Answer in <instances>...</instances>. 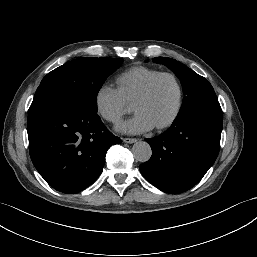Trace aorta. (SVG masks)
<instances>
[{
	"label": "aorta",
	"instance_id": "1",
	"mask_svg": "<svg viewBox=\"0 0 257 257\" xmlns=\"http://www.w3.org/2000/svg\"><path fill=\"white\" fill-rule=\"evenodd\" d=\"M132 153L139 162H147L151 158L152 150L147 142L139 141L133 145Z\"/></svg>",
	"mask_w": 257,
	"mask_h": 257
}]
</instances>
